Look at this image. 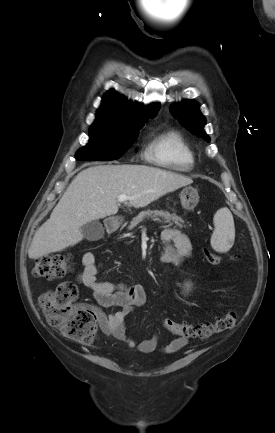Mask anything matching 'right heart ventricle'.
Returning <instances> with one entry per match:
<instances>
[{
	"label": "right heart ventricle",
	"instance_id": "right-heart-ventricle-1",
	"mask_svg": "<svg viewBox=\"0 0 275 433\" xmlns=\"http://www.w3.org/2000/svg\"><path fill=\"white\" fill-rule=\"evenodd\" d=\"M147 157L157 165L177 171H188L194 165V154L183 138L174 130L158 135L147 149Z\"/></svg>",
	"mask_w": 275,
	"mask_h": 433
}]
</instances>
